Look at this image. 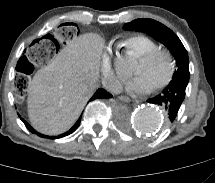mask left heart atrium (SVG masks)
I'll use <instances>...</instances> for the list:
<instances>
[{"mask_svg": "<svg viewBox=\"0 0 215 183\" xmlns=\"http://www.w3.org/2000/svg\"><path fill=\"white\" fill-rule=\"evenodd\" d=\"M128 92L145 94L151 91L152 87L143 75H135L125 82Z\"/></svg>", "mask_w": 215, "mask_h": 183, "instance_id": "39dd6f15", "label": "left heart atrium"}]
</instances>
